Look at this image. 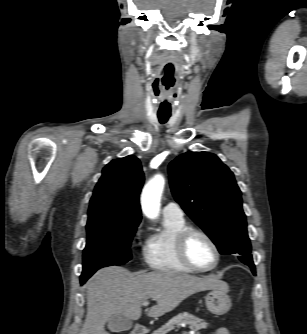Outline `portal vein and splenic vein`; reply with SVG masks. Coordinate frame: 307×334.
Listing matches in <instances>:
<instances>
[{"mask_svg": "<svg viewBox=\"0 0 307 334\" xmlns=\"http://www.w3.org/2000/svg\"><path fill=\"white\" fill-rule=\"evenodd\" d=\"M148 304H149L148 301H144V302L142 303L143 306H147Z\"/></svg>", "mask_w": 307, "mask_h": 334, "instance_id": "portal-vein-and-splenic-vein-1", "label": "portal vein and splenic vein"}]
</instances>
